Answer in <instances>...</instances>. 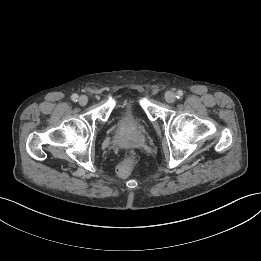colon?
Instances as JSON below:
<instances>
[{
    "label": "colon",
    "mask_w": 261,
    "mask_h": 261,
    "mask_svg": "<svg viewBox=\"0 0 261 261\" xmlns=\"http://www.w3.org/2000/svg\"><path fill=\"white\" fill-rule=\"evenodd\" d=\"M133 164V155H130L128 158H126L122 163H120L117 167V175L121 178H126L131 171Z\"/></svg>",
    "instance_id": "5ec220e1"
}]
</instances>
